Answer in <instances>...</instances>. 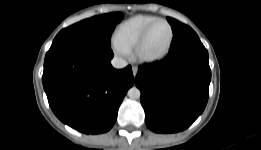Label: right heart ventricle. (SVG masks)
<instances>
[{
    "label": "right heart ventricle",
    "mask_w": 261,
    "mask_h": 150,
    "mask_svg": "<svg viewBox=\"0 0 261 150\" xmlns=\"http://www.w3.org/2000/svg\"><path fill=\"white\" fill-rule=\"evenodd\" d=\"M158 17L136 15L123 21L115 30L114 40L126 50L131 51L144 29Z\"/></svg>",
    "instance_id": "1"
}]
</instances>
